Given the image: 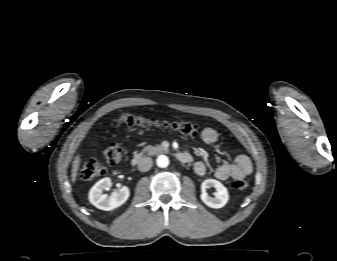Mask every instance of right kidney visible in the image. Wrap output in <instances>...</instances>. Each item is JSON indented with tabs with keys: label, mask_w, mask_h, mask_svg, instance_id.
<instances>
[{
	"label": "right kidney",
	"mask_w": 337,
	"mask_h": 261,
	"mask_svg": "<svg viewBox=\"0 0 337 261\" xmlns=\"http://www.w3.org/2000/svg\"><path fill=\"white\" fill-rule=\"evenodd\" d=\"M111 186V179L106 177L98 181L89 192V201L95 207L101 210L110 211L127 201L130 192L127 187H122L114 195L107 197L103 194L104 190L109 189Z\"/></svg>",
	"instance_id": "right-kidney-1"
}]
</instances>
